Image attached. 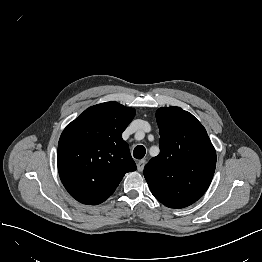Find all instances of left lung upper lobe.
I'll return each mask as SVG.
<instances>
[{"label":"left lung upper lobe","mask_w":262,"mask_h":262,"mask_svg":"<svg viewBox=\"0 0 262 262\" xmlns=\"http://www.w3.org/2000/svg\"><path fill=\"white\" fill-rule=\"evenodd\" d=\"M160 154L144 168L154 197L170 208H184L208 189L216 167V152L202 124L179 107L156 112Z\"/></svg>","instance_id":"obj_1"}]
</instances>
